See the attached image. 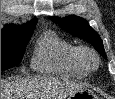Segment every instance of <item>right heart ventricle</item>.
<instances>
[{"instance_id":"e07e8e85","label":"right heart ventricle","mask_w":115,"mask_h":99,"mask_svg":"<svg viewBox=\"0 0 115 99\" xmlns=\"http://www.w3.org/2000/svg\"><path fill=\"white\" fill-rule=\"evenodd\" d=\"M31 68L37 72L81 79L88 71L78 57V47L53 31L41 35L31 59Z\"/></svg>"}]
</instances>
